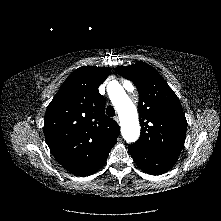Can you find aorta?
<instances>
[{"label": "aorta", "mask_w": 221, "mask_h": 221, "mask_svg": "<svg viewBox=\"0 0 221 221\" xmlns=\"http://www.w3.org/2000/svg\"><path fill=\"white\" fill-rule=\"evenodd\" d=\"M109 97L118 112L123 138L128 143L135 142L140 135V125L136 106L118 83L109 90Z\"/></svg>", "instance_id": "762f6f07"}]
</instances>
